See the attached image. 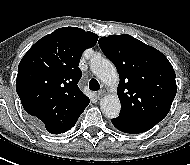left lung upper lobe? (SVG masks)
<instances>
[{
    "mask_svg": "<svg viewBox=\"0 0 190 165\" xmlns=\"http://www.w3.org/2000/svg\"><path fill=\"white\" fill-rule=\"evenodd\" d=\"M98 43L120 77L119 117L154 124L164 119L177 92L175 72L167 58L126 34L102 37Z\"/></svg>",
    "mask_w": 190,
    "mask_h": 165,
    "instance_id": "left-lung-upper-lobe-1",
    "label": "left lung upper lobe"
}]
</instances>
